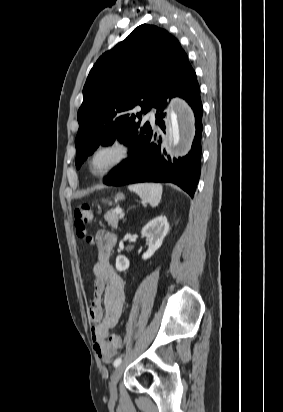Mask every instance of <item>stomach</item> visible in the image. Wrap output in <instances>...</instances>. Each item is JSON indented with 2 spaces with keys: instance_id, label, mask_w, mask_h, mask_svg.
Wrapping results in <instances>:
<instances>
[{
  "instance_id": "0dacf381",
  "label": "stomach",
  "mask_w": 283,
  "mask_h": 412,
  "mask_svg": "<svg viewBox=\"0 0 283 412\" xmlns=\"http://www.w3.org/2000/svg\"><path fill=\"white\" fill-rule=\"evenodd\" d=\"M124 198V195L122 194V193H118L116 196H115V200L116 201H118V200H121V199H123ZM105 202V201H104ZM107 202V201H106Z\"/></svg>"
}]
</instances>
